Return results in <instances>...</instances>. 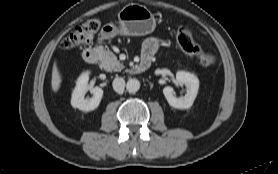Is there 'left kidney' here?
<instances>
[{"instance_id": "obj_1", "label": "left kidney", "mask_w": 278, "mask_h": 174, "mask_svg": "<svg viewBox=\"0 0 278 174\" xmlns=\"http://www.w3.org/2000/svg\"><path fill=\"white\" fill-rule=\"evenodd\" d=\"M176 81L179 85H185L187 93L183 97L177 98L174 89L167 86L163 89V94L169 105L174 108L187 109L193 105L199 89L198 78L189 72L178 71L176 73Z\"/></svg>"}]
</instances>
